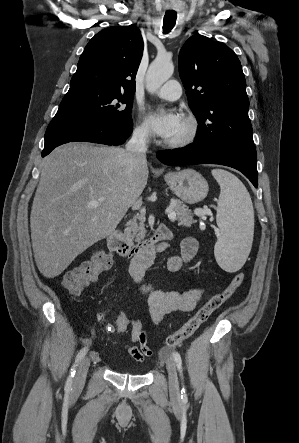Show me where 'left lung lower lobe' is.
<instances>
[{
    "label": "left lung lower lobe",
    "instance_id": "0a47b994",
    "mask_svg": "<svg viewBox=\"0 0 299 443\" xmlns=\"http://www.w3.org/2000/svg\"><path fill=\"white\" fill-rule=\"evenodd\" d=\"M166 165L220 164L242 172L257 188L256 148L254 145L209 147L192 144L185 148L164 150L156 154Z\"/></svg>",
    "mask_w": 299,
    "mask_h": 443
}]
</instances>
